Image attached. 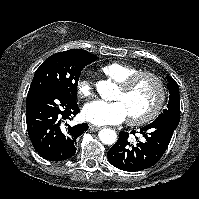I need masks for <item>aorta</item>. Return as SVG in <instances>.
<instances>
[{
    "instance_id": "obj_1",
    "label": "aorta",
    "mask_w": 199,
    "mask_h": 199,
    "mask_svg": "<svg viewBox=\"0 0 199 199\" xmlns=\"http://www.w3.org/2000/svg\"><path fill=\"white\" fill-rule=\"evenodd\" d=\"M99 95L106 100L110 99L111 91L115 88V84L111 81H99L96 85ZM99 139L103 144L112 145L116 142V132L109 128L101 129L98 133Z\"/></svg>"
}]
</instances>
